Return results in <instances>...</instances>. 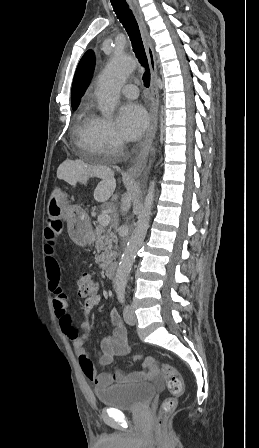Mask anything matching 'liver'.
Instances as JSON below:
<instances>
[{
  "label": "liver",
  "instance_id": "1",
  "mask_svg": "<svg viewBox=\"0 0 259 448\" xmlns=\"http://www.w3.org/2000/svg\"><path fill=\"white\" fill-rule=\"evenodd\" d=\"M58 178H62V180H67V182H87L88 178H94V176H99L97 170H94L92 166H86L83 160H66L64 162V166L59 168L57 172ZM110 180H103L100 182L97 190H101L102 186H112L115 188V180H113V172H109L108 174Z\"/></svg>",
  "mask_w": 259,
  "mask_h": 448
}]
</instances>
